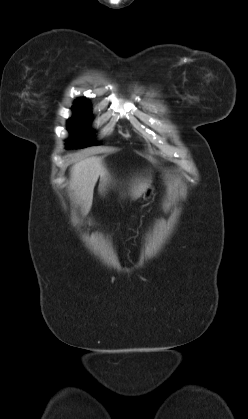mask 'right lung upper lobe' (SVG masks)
<instances>
[{
    "mask_svg": "<svg viewBox=\"0 0 248 419\" xmlns=\"http://www.w3.org/2000/svg\"><path fill=\"white\" fill-rule=\"evenodd\" d=\"M78 100H84V101H87V100H85V99H78Z\"/></svg>",
    "mask_w": 248,
    "mask_h": 419,
    "instance_id": "obj_1",
    "label": "right lung upper lobe"
}]
</instances>
